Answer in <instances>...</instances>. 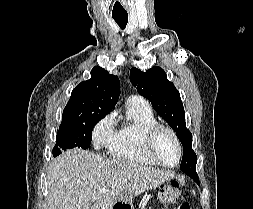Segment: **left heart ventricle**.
<instances>
[{"mask_svg": "<svg viewBox=\"0 0 253 209\" xmlns=\"http://www.w3.org/2000/svg\"><path fill=\"white\" fill-rule=\"evenodd\" d=\"M155 154L166 164H174L178 150L173 137L167 131H160L154 143Z\"/></svg>", "mask_w": 253, "mask_h": 209, "instance_id": "b2bd125f", "label": "left heart ventricle"}]
</instances>
